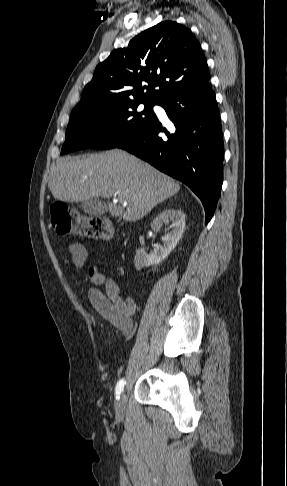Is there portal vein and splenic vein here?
<instances>
[{
    "mask_svg": "<svg viewBox=\"0 0 287 486\" xmlns=\"http://www.w3.org/2000/svg\"><path fill=\"white\" fill-rule=\"evenodd\" d=\"M121 202H124L125 204H127V202H125V201H123V200H121Z\"/></svg>",
    "mask_w": 287,
    "mask_h": 486,
    "instance_id": "portal-vein-and-splenic-vein-1",
    "label": "portal vein and splenic vein"
}]
</instances>
